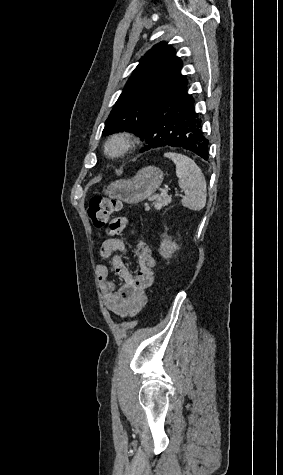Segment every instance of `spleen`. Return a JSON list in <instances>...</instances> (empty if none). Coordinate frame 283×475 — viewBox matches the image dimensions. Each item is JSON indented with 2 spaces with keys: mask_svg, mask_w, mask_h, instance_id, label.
I'll return each mask as SVG.
<instances>
[{
  "mask_svg": "<svg viewBox=\"0 0 283 475\" xmlns=\"http://www.w3.org/2000/svg\"><path fill=\"white\" fill-rule=\"evenodd\" d=\"M165 158H170L176 166V176L179 180L178 184L185 192L183 200H181L184 208L189 210H203L206 204L207 188L206 180L197 164L191 158L182 156V154H174L167 152Z\"/></svg>",
  "mask_w": 283,
  "mask_h": 475,
  "instance_id": "3e777b00",
  "label": "spleen"
}]
</instances>
